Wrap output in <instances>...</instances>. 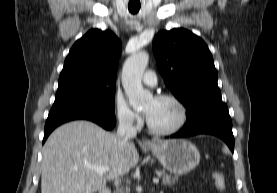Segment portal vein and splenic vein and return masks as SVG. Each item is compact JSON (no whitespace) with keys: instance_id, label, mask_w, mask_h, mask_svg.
<instances>
[{"instance_id":"1","label":"portal vein and splenic vein","mask_w":277,"mask_h":193,"mask_svg":"<svg viewBox=\"0 0 277 193\" xmlns=\"http://www.w3.org/2000/svg\"><path fill=\"white\" fill-rule=\"evenodd\" d=\"M87 167L89 169H92V170L97 171L99 173H105V172L109 171V168L105 167V166H90V165H88ZM153 183L154 184L159 183V178H157V177L153 178Z\"/></svg>"}]
</instances>
